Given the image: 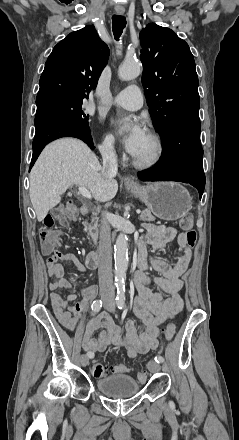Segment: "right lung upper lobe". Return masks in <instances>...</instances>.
<instances>
[{"label":"right lung upper lobe","mask_w":239,"mask_h":440,"mask_svg":"<svg viewBox=\"0 0 239 440\" xmlns=\"http://www.w3.org/2000/svg\"><path fill=\"white\" fill-rule=\"evenodd\" d=\"M108 57V46L93 25L68 34L47 59L36 102L53 96L88 98Z\"/></svg>","instance_id":"cb5924a9"}]
</instances>
